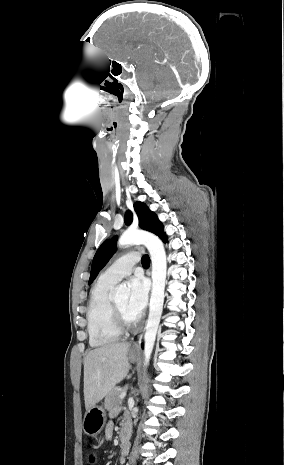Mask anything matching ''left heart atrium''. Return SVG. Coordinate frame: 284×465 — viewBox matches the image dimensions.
<instances>
[{"label": "left heart atrium", "mask_w": 284, "mask_h": 465, "mask_svg": "<svg viewBox=\"0 0 284 465\" xmlns=\"http://www.w3.org/2000/svg\"><path fill=\"white\" fill-rule=\"evenodd\" d=\"M130 294L128 298V310L136 318L144 311L148 301V287L142 277H134L130 280Z\"/></svg>", "instance_id": "obj_1"}]
</instances>
